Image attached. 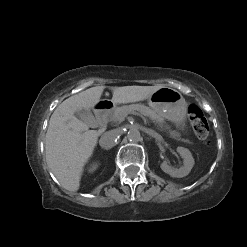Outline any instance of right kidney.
<instances>
[{
  "mask_svg": "<svg viewBox=\"0 0 247 247\" xmlns=\"http://www.w3.org/2000/svg\"><path fill=\"white\" fill-rule=\"evenodd\" d=\"M97 167H98L97 163L92 164L91 167L89 168V172L95 171L97 169Z\"/></svg>",
  "mask_w": 247,
  "mask_h": 247,
  "instance_id": "ca27d5eb",
  "label": "right kidney"
}]
</instances>
